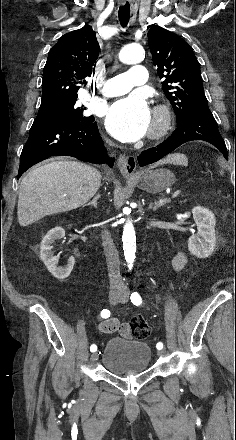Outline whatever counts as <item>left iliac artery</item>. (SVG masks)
Returning <instances> with one entry per match:
<instances>
[{
  "instance_id": "left-iliac-artery-1",
  "label": "left iliac artery",
  "mask_w": 236,
  "mask_h": 440,
  "mask_svg": "<svg viewBox=\"0 0 236 440\" xmlns=\"http://www.w3.org/2000/svg\"><path fill=\"white\" fill-rule=\"evenodd\" d=\"M130 299L131 302L136 306H139L142 303V298L137 292L132 293ZM156 348L161 350L163 348V343H157Z\"/></svg>"
}]
</instances>
